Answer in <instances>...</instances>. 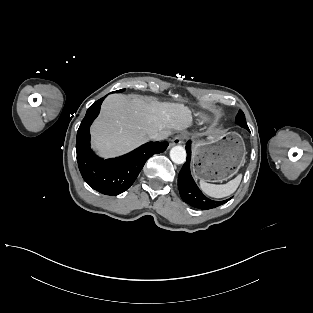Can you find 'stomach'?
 Segmentation results:
<instances>
[{
	"instance_id": "obj_1",
	"label": "stomach",
	"mask_w": 313,
	"mask_h": 313,
	"mask_svg": "<svg viewBox=\"0 0 313 313\" xmlns=\"http://www.w3.org/2000/svg\"><path fill=\"white\" fill-rule=\"evenodd\" d=\"M206 121L203 112L196 113ZM245 144L237 133L210 132L206 140H197L193 147V169L197 178L222 182L236 174L243 165Z\"/></svg>"
}]
</instances>
